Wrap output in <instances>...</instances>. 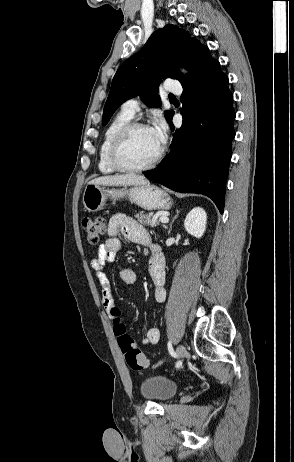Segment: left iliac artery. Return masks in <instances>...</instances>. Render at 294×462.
I'll list each match as a JSON object with an SVG mask.
<instances>
[{
  "mask_svg": "<svg viewBox=\"0 0 294 462\" xmlns=\"http://www.w3.org/2000/svg\"><path fill=\"white\" fill-rule=\"evenodd\" d=\"M167 352H169V356H171V358H172L173 360H177V361H176V368H179V367L182 365V363H181L180 360H178V359H179V356H178V354L174 351V349H173V344H171V341L168 342Z\"/></svg>",
  "mask_w": 294,
  "mask_h": 462,
  "instance_id": "obj_1",
  "label": "left iliac artery"
}]
</instances>
